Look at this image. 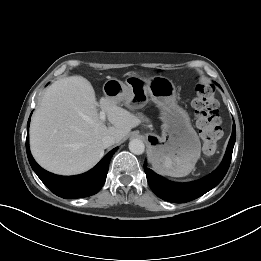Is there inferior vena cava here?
Instances as JSON below:
<instances>
[{
	"label": "inferior vena cava",
	"instance_id": "inferior-vena-cava-1",
	"mask_svg": "<svg viewBox=\"0 0 261 261\" xmlns=\"http://www.w3.org/2000/svg\"><path fill=\"white\" fill-rule=\"evenodd\" d=\"M115 143V137L106 135L102 138V144L105 148L112 146Z\"/></svg>",
	"mask_w": 261,
	"mask_h": 261
}]
</instances>
